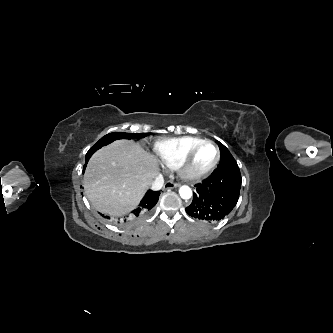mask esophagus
I'll return each mask as SVG.
<instances>
[{
    "label": "esophagus",
    "instance_id": "34e87169",
    "mask_svg": "<svg viewBox=\"0 0 333 333\" xmlns=\"http://www.w3.org/2000/svg\"><path fill=\"white\" fill-rule=\"evenodd\" d=\"M179 187V184L177 183H174L172 181H167L165 184H164V189L165 190H169V189H173V188H177Z\"/></svg>",
    "mask_w": 333,
    "mask_h": 333
}]
</instances>
